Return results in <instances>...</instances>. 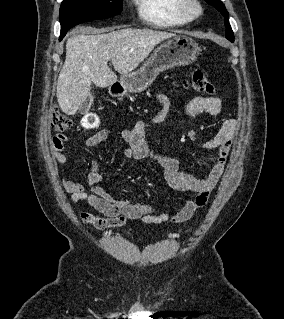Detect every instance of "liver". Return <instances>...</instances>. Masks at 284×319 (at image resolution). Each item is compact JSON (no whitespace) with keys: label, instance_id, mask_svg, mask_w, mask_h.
<instances>
[{"label":"liver","instance_id":"liver-1","mask_svg":"<svg viewBox=\"0 0 284 319\" xmlns=\"http://www.w3.org/2000/svg\"><path fill=\"white\" fill-rule=\"evenodd\" d=\"M102 30L73 35L66 42V59L57 81L60 109L74 115L89 96L91 84L108 87L117 81L108 61L122 76L131 73L162 41L176 34L149 29ZM110 31L109 33H102Z\"/></svg>","mask_w":284,"mask_h":319}]
</instances>
